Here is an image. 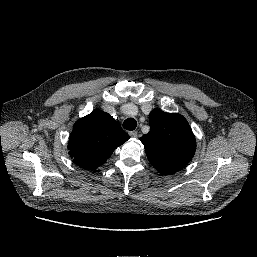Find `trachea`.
Wrapping results in <instances>:
<instances>
[{"instance_id":"3493384b","label":"trachea","mask_w":257,"mask_h":257,"mask_svg":"<svg viewBox=\"0 0 257 257\" xmlns=\"http://www.w3.org/2000/svg\"><path fill=\"white\" fill-rule=\"evenodd\" d=\"M137 126V122L134 118H128L123 122V127L126 130H134Z\"/></svg>"}]
</instances>
